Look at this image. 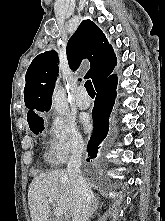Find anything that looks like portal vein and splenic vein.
<instances>
[{
    "mask_svg": "<svg viewBox=\"0 0 165 221\" xmlns=\"http://www.w3.org/2000/svg\"><path fill=\"white\" fill-rule=\"evenodd\" d=\"M49 203L53 204V199H49ZM54 215L57 217L63 216V210L60 207H55L54 208Z\"/></svg>",
    "mask_w": 165,
    "mask_h": 221,
    "instance_id": "portal-vein-and-splenic-vein-1",
    "label": "portal vein and splenic vein"
}]
</instances>
